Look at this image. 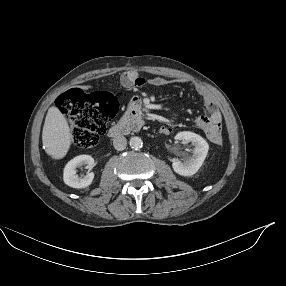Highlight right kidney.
<instances>
[{
    "label": "right kidney",
    "instance_id": "ca27d5eb",
    "mask_svg": "<svg viewBox=\"0 0 286 286\" xmlns=\"http://www.w3.org/2000/svg\"><path fill=\"white\" fill-rule=\"evenodd\" d=\"M86 165L89 171L95 166L94 159L90 155H79L70 160L64 168L63 180L66 185L73 188H86L88 187L94 178L92 172H88L82 177L76 175V167Z\"/></svg>",
    "mask_w": 286,
    "mask_h": 286
}]
</instances>
